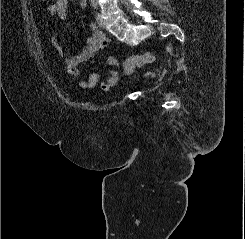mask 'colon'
I'll use <instances>...</instances> for the list:
<instances>
[{
	"instance_id": "obj_1",
	"label": "colon",
	"mask_w": 245,
	"mask_h": 239,
	"mask_svg": "<svg viewBox=\"0 0 245 239\" xmlns=\"http://www.w3.org/2000/svg\"><path fill=\"white\" fill-rule=\"evenodd\" d=\"M154 61V56L151 53L136 54L127 58L123 63V71L130 74L135 67L150 64Z\"/></svg>"
}]
</instances>
